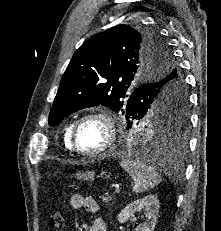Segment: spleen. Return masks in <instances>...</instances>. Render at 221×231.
<instances>
[{"label": "spleen", "instance_id": "obj_1", "mask_svg": "<svg viewBox=\"0 0 221 231\" xmlns=\"http://www.w3.org/2000/svg\"><path fill=\"white\" fill-rule=\"evenodd\" d=\"M120 166L134 180L133 192L143 193L154 188L161 181L160 175L152 164L143 160L126 157L120 162Z\"/></svg>", "mask_w": 221, "mask_h": 231}]
</instances>
